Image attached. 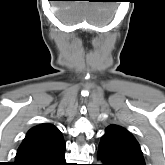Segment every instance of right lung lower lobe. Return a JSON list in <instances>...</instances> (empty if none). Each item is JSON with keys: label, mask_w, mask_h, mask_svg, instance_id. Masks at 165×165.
I'll use <instances>...</instances> for the list:
<instances>
[{"label": "right lung lower lobe", "mask_w": 165, "mask_h": 165, "mask_svg": "<svg viewBox=\"0 0 165 165\" xmlns=\"http://www.w3.org/2000/svg\"><path fill=\"white\" fill-rule=\"evenodd\" d=\"M65 142L63 137L45 145L43 152L22 165H67L65 161Z\"/></svg>", "instance_id": "right-lung-lower-lobe-1"}]
</instances>
